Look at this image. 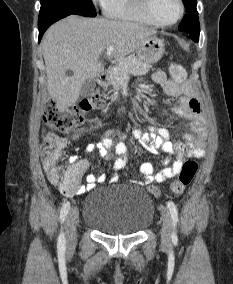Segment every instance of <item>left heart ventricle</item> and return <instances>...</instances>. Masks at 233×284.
<instances>
[{"mask_svg": "<svg viewBox=\"0 0 233 284\" xmlns=\"http://www.w3.org/2000/svg\"><path fill=\"white\" fill-rule=\"evenodd\" d=\"M152 8L155 15L162 22H172L179 14L177 0H152Z\"/></svg>", "mask_w": 233, "mask_h": 284, "instance_id": "b2bd125f", "label": "left heart ventricle"}]
</instances>
